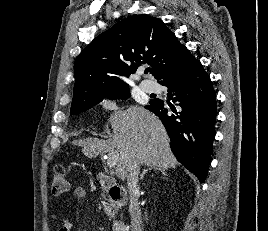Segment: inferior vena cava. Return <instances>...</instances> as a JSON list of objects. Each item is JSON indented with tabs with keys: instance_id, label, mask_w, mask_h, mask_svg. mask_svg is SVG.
<instances>
[{
	"instance_id": "inferior-vena-cava-1",
	"label": "inferior vena cava",
	"mask_w": 268,
	"mask_h": 231,
	"mask_svg": "<svg viewBox=\"0 0 268 231\" xmlns=\"http://www.w3.org/2000/svg\"><path fill=\"white\" fill-rule=\"evenodd\" d=\"M140 170V164L134 161L128 168L127 173V186L130 195L129 211L131 216V231H142V217L141 209L139 207L138 195V175Z\"/></svg>"
}]
</instances>
